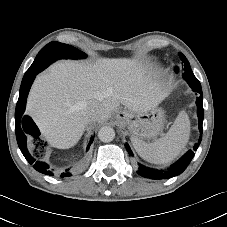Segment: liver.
Returning a JSON list of instances; mask_svg holds the SVG:
<instances>
[{"instance_id":"obj_1","label":"liver","mask_w":227,"mask_h":227,"mask_svg":"<svg viewBox=\"0 0 227 227\" xmlns=\"http://www.w3.org/2000/svg\"><path fill=\"white\" fill-rule=\"evenodd\" d=\"M168 94L152 68L136 60L62 61L36 78L27 111L47 142L65 149L79 141L90 121L107 120L120 104L144 113L156 108ZM85 104L97 108L95 119L86 117Z\"/></svg>"}]
</instances>
